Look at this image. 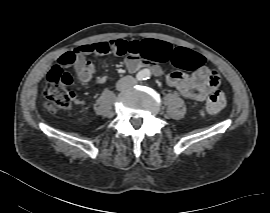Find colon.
<instances>
[{
  "mask_svg": "<svg viewBox=\"0 0 270 213\" xmlns=\"http://www.w3.org/2000/svg\"><path fill=\"white\" fill-rule=\"evenodd\" d=\"M152 46H141L138 41L111 40L105 42V53L124 55L131 54L147 58ZM77 55V50L65 52L59 60L53 64L46 74V87L44 91V106L52 113L68 109L76 99L77 94L71 88L72 77L68 72L70 61ZM189 63L194 67L203 64V58L197 54H189ZM226 98L223 93L212 94L205 102L202 113L204 115L218 114L224 110Z\"/></svg>",
  "mask_w": 270,
  "mask_h": 213,
  "instance_id": "colon-1",
  "label": "colon"
}]
</instances>
